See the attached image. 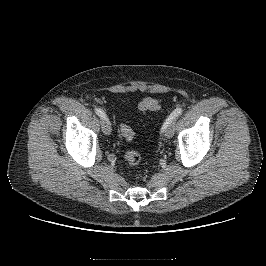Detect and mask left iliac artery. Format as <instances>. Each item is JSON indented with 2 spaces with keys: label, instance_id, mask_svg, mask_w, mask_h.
<instances>
[{
  "label": "left iliac artery",
  "instance_id": "obj_1",
  "mask_svg": "<svg viewBox=\"0 0 266 266\" xmlns=\"http://www.w3.org/2000/svg\"><path fill=\"white\" fill-rule=\"evenodd\" d=\"M183 113V109L182 108H177L175 109L170 115L169 117L166 119V121L163 124L162 130L164 131L166 129V127L168 126V124H170L174 119H176L178 116H180Z\"/></svg>",
  "mask_w": 266,
  "mask_h": 266
}]
</instances>
